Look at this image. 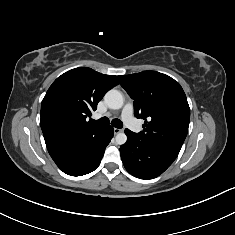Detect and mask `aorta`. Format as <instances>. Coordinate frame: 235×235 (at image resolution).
Masks as SVG:
<instances>
[{
	"label": "aorta",
	"instance_id": "1",
	"mask_svg": "<svg viewBox=\"0 0 235 235\" xmlns=\"http://www.w3.org/2000/svg\"><path fill=\"white\" fill-rule=\"evenodd\" d=\"M104 102L110 109H120L123 106L124 99L122 94L115 89L109 90L104 96ZM116 143L123 145L127 141L125 133H118L115 137Z\"/></svg>",
	"mask_w": 235,
	"mask_h": 235
}]
</instances>
